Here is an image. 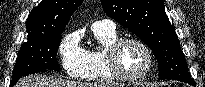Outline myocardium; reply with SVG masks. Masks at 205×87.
Returning a JSON list of instances; mask_svg holds the SVG:
<instances>
[{"instance_id": "1", "label": "myocardium", "mask_w": 205, "mask_h": 87, "mask_svg": "<svg viewBox=\"0 0 205 87\" xmlns=\"http://www.w3.org/2000/svg\"><path fill=\"white\" fill-rule=\"evenodd\" d=\"M128 43L139 45L147 56V65L145 69L140 74L134 76L124 73L118 60L121 49ZM105 61L110 74L115 79L122 82H139L145 79L151 72L154 65V57L150 47L143 40L136 37L120 38L111 44L105 51Z\"/></svg>"}]
</instances>
